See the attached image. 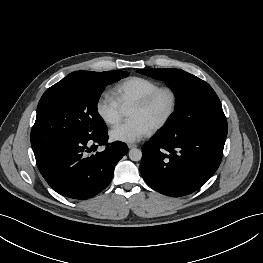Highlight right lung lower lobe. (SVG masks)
Instances as JSON below:
<instances>
[{"instance_id":"1","label":"right lung lower lobe","mask_w":263,"mask_h":263,"mask_svg":"<svg viewBox=\"0 0 263 263\" xmlns=\"http://www.w3.org/2000/svg\"><path fill=\"white\" fill-rule=\"evenodd\" d=\"M107 140L106 128L95 135L56 141L34 151L38 169L59 194L73 199L90 198L109 185L115 165L128 151L125 143L109 144ZM102 145H106L104 151L87 154Z\"/></svg>"}]
</instances>
